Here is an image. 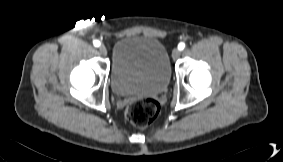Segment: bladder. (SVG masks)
Wrapping results in <instances>:
<instances>
[{
  "instance_id": "bladder-1",
  "label": "bladder",
  "mask_w": 283,
  "mask_h": 162,
  "mask_svg": "<svg viewBox=\"0 0 283 162\" xmlns=\"http://www.w3.org/2000/svg\"><path fill=\"white\" fill-rule=\"evenodd\" d=\"M170 77L169 54L158 39L131 35L114 44L110 80L116 95L161 94L166 90Z\"/></svg>"
}]
</instances>
